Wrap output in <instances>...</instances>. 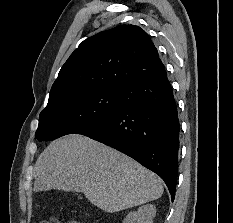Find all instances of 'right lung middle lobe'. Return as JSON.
<instances>
[{
    "label": "right lung middle lobe",
    "instance_id": "right-lung-middle-lobe-1",
    "mask_svg": "<svg viewBox=\"0 0 233 223\" xmlns=\"http://www.w3.org/2000/svg\"><path fill=\"white\" fill-rule=\"evenodd\" d=\"M120 92L118 88H92L49 101L39 115L36 139L48 141L78 134L99 123L120 109Z\"/></svg>",
    "mask_w": 233,
    "mask_h": 223
}]
</instances>
